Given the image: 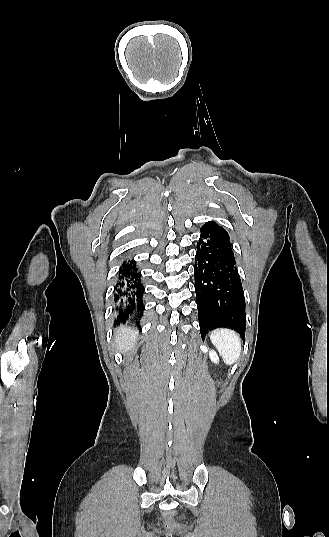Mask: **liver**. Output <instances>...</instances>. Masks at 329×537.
<instances>
[{"label":"liver","instance_id":"obj_1","mask_svg":"<svg viewBox=\"0 0 329 537\" xmlns=\"http://www.w3.org/2000/svg\"><path fill=\"white\" fill-rule=\"evenodd\" d=\"M115 342L118 349L131 350L137 340L138 332L127 326H121L116 330Z\"/></svg>","mask_w":329,"mask_h":537}]
</instances>
